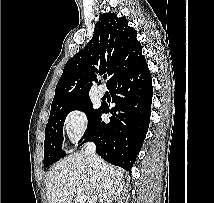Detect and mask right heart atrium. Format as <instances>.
Instances as JSON below:
<instances>
[{"label": "right heart atrium", "mask_w": 214, "mask_h": 203, "mask_svg": "<svg viewBox=\"0 0 214 203\" xmlns=\"http://www.w3.org/2000/svg\"><path fill=\"white\" fill-rule=\"evenodd\" d=\"M63 126L71 140H78L88 127L86 112L82 109L70 110L63 120Z\"/></svg>", "instance_id": "1"}]
</instances>
